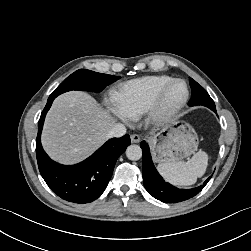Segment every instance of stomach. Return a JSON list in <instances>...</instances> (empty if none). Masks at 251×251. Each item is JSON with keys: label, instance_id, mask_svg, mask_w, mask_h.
I'll use <instances>...</instances> for the list:
<instances>
[{"label": "stomach", "instance_id": "stomach-1", "mask_svg": "<svg viewBox=\"0 0 251 251\" xmlns=\"http://www.w3.org/2000/svg\"><path fill=\"white\" fill-rule=\"evenodd\" d=\"M151 145L156 162H176L195 152L198 137L187 123L173 121L153 136Z\"/></svg>", "mask_w": 251, "mask_h": 251}]
</instances>
